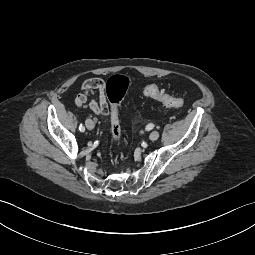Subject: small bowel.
I'll use <instances>...</instances> for the list:
<instances>
[{"label": "small bowel", "instance_id": "obj_1", "mask_svg": "<svg viewBox=\"0 0 255 255\" xmlns=\"http://www.w3.org/2000/svg\"><path fill=\"white\" fill-rule=\"evenodd\" d=\"M94 92H98V98L89 101L90 109L97 115H109L112 108L106 95V83L100 78H91L83 83L82 92L75 99L76 105L84 107L88 103L89 96Z\"/></svg>", "mask_w": 255, "mask_h": 255}]
</instances>
